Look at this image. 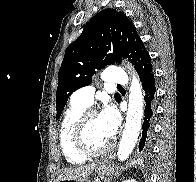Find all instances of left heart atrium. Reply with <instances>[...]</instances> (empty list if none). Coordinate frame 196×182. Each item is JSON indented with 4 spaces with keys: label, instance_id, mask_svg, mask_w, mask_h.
<instances>
[{
    "label": "left heart atrium",
    "instance_id": "left-heart-atrium-1",
    "mask_svg": "<svg viewBox=\"0 0 196 182\" xmlns=\"http://www.w3.org/2000/svg\"><path fill=\"white\" fill-rule=\"evenodd\" d=\"M99 123L104 134L110 139L117 132L119 116L113 108L107 107L99 115Z\"/></svg>",
    "mask_w": 196,
    "mask_h": 182
}]
</instances>
